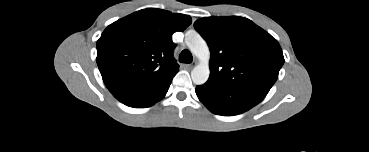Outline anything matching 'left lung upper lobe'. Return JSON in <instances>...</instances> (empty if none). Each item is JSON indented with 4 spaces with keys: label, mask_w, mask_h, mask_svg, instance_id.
Returning a JSON list of instances; mask_svg holds the SVG:
<instances>
[{
    "label": "left lung upper lobe",
    "mask_w": 369,
    "mask_h": 152,
    "mask_svg": "<svg viewBox=\"0 0 369 152\" xmlns=\"http://www.w3.org/2000/svg\"><path fill=\"white\" fill-rule=\"evenodd\" d=\"M210 52L208 80L265 97L284 63L281 47L268 32L239 17H204L194 23Z\"/></svg>",
    "instance_id": "1"
}]
</instances>
